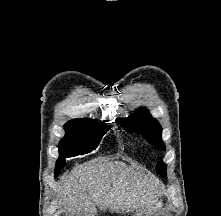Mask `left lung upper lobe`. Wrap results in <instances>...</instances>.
Wrapping results in <instances>:
<instances>
[{
	"label": "left lung upper lobe",
	"instance_id": "left-lung-upper-lobe-1",
	"mask_svg": "<svg viewBox=\"0 0 221 216\" xmlns=\"http://www.w3.org/2000/svg\"><path fill=\"white\" fill-rule=\"evenodd\" d=\"M121 124L125 130L141 134L150 144L165 150V144L161 140V126L151 117L146 109H142L138 113L122 119ZM166 167L167 165L162 161H160L156 167V171L165 178Z\"/></svg>",
	"mask_w": 221,
	"mask_h": 216
}]
</instances>
